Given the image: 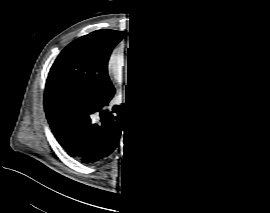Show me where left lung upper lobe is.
Segmentation results:
<instances>
[{"mask_svg": "<svg viewBox=\"0 0 270 213\" xmlns=\"http://www.w3.org/2000/svg\"><path fill=\"white\" fill-rule=\"evenodd\" d=\"M200 59L197 81L177 100L220 102L228 96V73L222 60L205 44L194 41Z\"/></svg>", "mask_w": 270, "mask_h": 213, "instance_id": "1", "label": "left lung upper lobe"}]
</instances>
